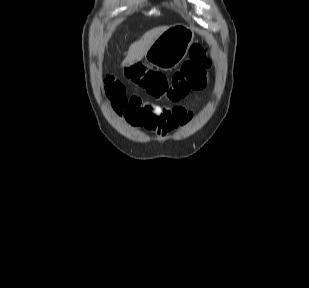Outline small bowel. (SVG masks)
Returning <instances> with one entry per match:
<instances>
[{"instance_id":"1","label":"small bowel","mask_w":309,"mask_h":288,"mask_svg":"<svg viewBox=\"0 0 309 288\" xmlns=\"http://www.w3.org/2000/svg\"><path fill=\"white\" fill-rule=\"evenodd\" d=\"M128 106L131 111L125 114L127 121L158 136H165L193 119V114L182 106L159 107L139 97H131Z\"/></svg>"}]
</instances>
